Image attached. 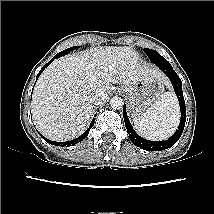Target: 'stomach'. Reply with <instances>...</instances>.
Returning <instances> with one entry per match:
<instances>
[{"mask_svg":"<svg viewBox=\"0 0 214 214\" xmlns=\"http://www.w3.org/2000/svg\"><path fill=\"white\" fill-rule=\"evenodd\" d=\"M128 98L129 112L139 116L146 112L164 92L163 80L151 78L120 89Z\"/></svg>","mask_w":214,"mask_h":214,"instance_id":"1","label":"stomach"}]
</instances>
